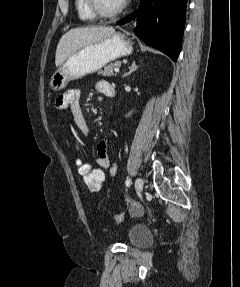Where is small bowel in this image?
<instances>
[{"label":"small bowel","instance_id":"small-bowel-1","mask_svg":"<svg viewBox=\"0 0 240 287\" xmlns=\"http://www.w3.org/2000/svg\"><path fill=\"white\" fill-rule=\"evenodd\" d=\"M96 89L101 94L110 97L114 92V88L111 83L107 81H99L96 84ZM55 106L60 111H70L74 123L79 131L85 135H89V130L85 122L84 113L81 107V91L78 89H70L65 93L59 95L55 100ZM96 164L101 169H108L109 174L114 177L117 174L118 167L115 163H112L108 155V139L103 140L97 147V156L95 159ZM130 204L131 211L135 214L140 213L142 207L140 204L134 202L130 197L126 198Z\"/></svg>","mask_w":240,"mask_h":287}]
</instances>
